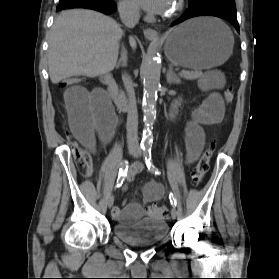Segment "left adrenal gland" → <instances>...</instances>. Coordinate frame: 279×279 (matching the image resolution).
Returning <instances> with one entry per match:
<instances>
[{"label": "left adrenal gland", "instance_id": "left-adrenal-gland-1", "mask_svg": "<svg viewBox=\"0 0 279 279\" xmlns=\"http://www.w3.org/2000/svg\"><path fill=\"white\" fill-rule=\"evenodd\" d=\"M166 80L169 84H180L181 82L178 75L174 73L172 66L169 67V70L166 75Z\"/></svg>", "mask_w": 279, "mask_h": 279}]
</instances>
